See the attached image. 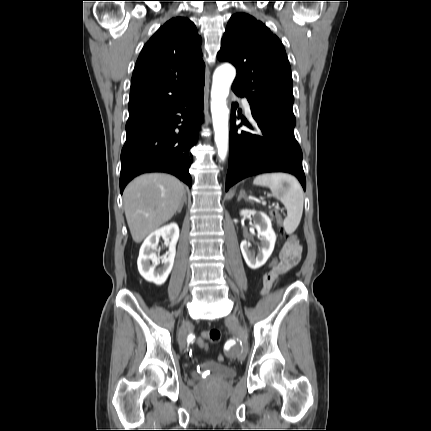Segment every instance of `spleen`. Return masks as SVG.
Returning <instances> with one entry per match:
<instances>
[{
    "label": "spleen",
    "mask_w": 431,
    "mask_h": 431,
    "mask_svg": "<svg viewBox=\"0 0 431 431\" xmlns=\"http://www.w3.org/2000/svg\"><path fill=\"white\" fill-rule=\"evenodd\" d=\"M290 185L283 188V183ZM254 185L269 187L273 192H283V204L287 210V216L283 226L287 234H292L298 227L304 204V194L301 185L295 177L286 173L261 174L255 177Z\"/></svg>",
    "instance_id": "obj_1"
}]
</instances>
